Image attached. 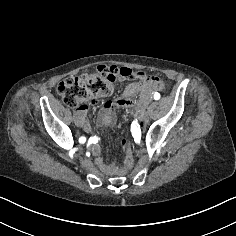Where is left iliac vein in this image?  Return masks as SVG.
<instances>
[{
    "label": "left iliac vein",
    "mask_w": 236,
    "mask_h": 236,
    "mask_svg": "<svg viewBox=\"0 0 236 236\" xmlns=\"http://www.w3.org/2000/svg\"><path fill=\"white\" fill-rule=\"evenodd\" d=\"M148 117H149V114L145 113L143 118L146 120Z\"/></svg>",
    "instance_id": "left-iliac-vein-1"
}]
</instances>
